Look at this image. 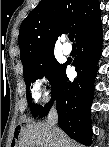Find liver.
<instances>
[{
  "label": "liver",
  "instance_id": "liver-1",
  "mask_svg": "<svg viewBox=\"0 0 109 147\" xmlns=\"http://www.w3.org/2000/svg\"><path fill=\"white\" fill-rule=\"evenodd\" d=\"M18 147H78L60 128L47 123H29L20 133Z\"/></svg>",
  "mask_w": 109,
  "mask_h": 147
}]
</instances>
